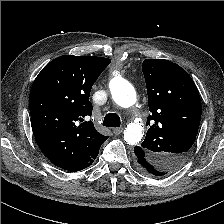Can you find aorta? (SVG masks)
I'll use <instances>...</instances> for the list:
<instances>
[{
	"label": "aorta",
	"instance_id": "aorta-1",
	"mask_svg": "<svg viewBox=\"0 0 224 224\" xmlns=\"http://www.w3.org/2000/svg\"><path fill=\"white\" fill-rule=\"evenodd\" d=\"M109 88L114 102L123 107L128 108L136 102V92L134 87L121 77L111 79ZM144 135L143 127L137 123H130L124 130V140L129 145L139 143Z\"/></svg>",
	"mask_w": 224,
	"mask_h": 224
}]
</instances>
